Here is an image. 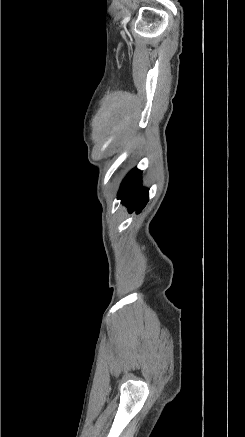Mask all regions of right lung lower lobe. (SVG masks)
<instances>
[{
  "instance_id": "right-lung-lower-lobe-1",
  "label": "right lung lower lobe",
  "mask_w": 245,
  "mask_h": 437,
  "mask_svg": "<svg viewBox=\"0 0 245 437\" xmlns=\"http://www.w3.org/2000/svg\"><path fill=\"white\" fill-rule=\"evenodd\" d=\"M148 190L142 188L141 171L133 169L122 181L118 199L128 207L129 213H140L148 202Z\"/></svg>"
}]
</instances>
